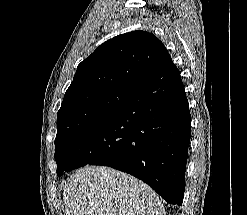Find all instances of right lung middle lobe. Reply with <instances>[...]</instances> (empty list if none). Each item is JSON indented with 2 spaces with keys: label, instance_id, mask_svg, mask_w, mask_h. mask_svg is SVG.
I'll return each mask as SVG.
<instances>
[{
  "label": "right lung middle lobe",
  "instance_id": "dd1d6c3e",
  "mask_svg": "<svg viewBox=\"0 0 247 215\" xmlns=\"http://www.w3.org/2000/svg\"><path fill=\"white\" fill-rule=\"evenodd\" d=\"M131 92V90L116 88H92L65 94L58 111L55 138L58 176L67 172L70 153L80 137L115 113Z\"/></svg>",
  "mask_w": 247,
  "mask_h": 215
}]
</instances>
